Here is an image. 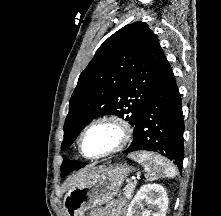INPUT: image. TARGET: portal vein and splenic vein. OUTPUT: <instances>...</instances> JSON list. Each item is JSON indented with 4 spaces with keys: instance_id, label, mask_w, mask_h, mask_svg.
<instances>
[{
    "instance_id": "portal-vein-and-splenic-vein-1",
    "label": "portal vein and splenic vein",
    "mask_w": 221,
    "mask_h": 216,
    "mask_svg": "<svg viewBox=\"0 0 221 216\" xmlns=\"http://www.w3.org/2000/svg\"><path fill=\"white\" fill-rule=\"evenodd\" d=\"M137 182V180L134 178V183H136Z\"/></svg>"
}]
</instances>
